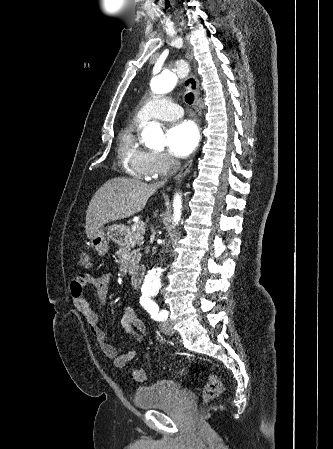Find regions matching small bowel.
Listing matches in <instances>:
<instances>
[{"label": "small bowel", "mask_w": 333, "mask_h": 449, "mask_svg": "<svg viewBox=\"0 0 333 449\" xmlns=\"http://www.w3.org/2000/svg\"><path fill=\"white\" fill-rule=\"evenodd\" d=\"M110 276L107 273L93 277L89 273H80L71 282L70 292L73 304L83 317L88 329L95 338L104 355L113 360L117 367L125 366L135 356L133 349L118 354L116 349L108 342L107 335L99 325L96 312L86 298L85 290L91 286L96 290L100 303H105L108 297V284ZM121 328L140 345L145 341L146 325L140 315L132 308H127L120 319Z\"/></svg>", "instance_id": "c3829d8e"}]
</instances>
